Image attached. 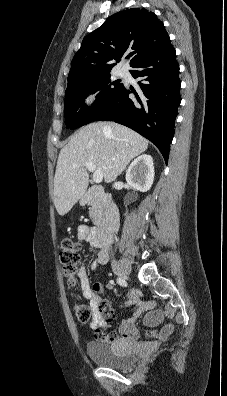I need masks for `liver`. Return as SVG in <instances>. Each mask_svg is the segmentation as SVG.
<instances>
[{
  "label": "liver",
  "mask_w": 227,
  "mask_h": 396,
  "mask_svg": "<svg viewBox=\"0 0 227 396\" xmlns=\"http://www.w3.org/2000/svg\"><path fill=\"white\" fill-rule=\"evenodd\" d=\"M148 148V140L114 122L91 123L76 132L58 156L54 178V205L59 215L67 214L85 194L91 162L104 181L116 180L128 163Z\"/></svg>",
  "instance_id": "1"
}]
</instances>
